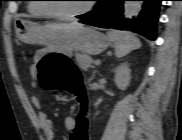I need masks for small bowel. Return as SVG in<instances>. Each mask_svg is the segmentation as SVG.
<instances>
[{
    "instance_id": "1",
    "label": "small bowel",
    "mask_w": 182,
    "mask_h": 140,
    "mask_svg": "<svg viewBox=\"0 0 182 140\" xmlns=\"http://www.w3.org/2000/svg\"><path fill=\"white\" fill-rule=\"evenodd\" d=\"M42 58H43V54L41 52L35 53L33 57V63L29 68V71L31 74H35L37 72V65L42 60ZM31 101L36 108L41 107V101L37 95L33 94L31 96ZM38 123L44 134L45 140H52L54 138V128L48 114L43 111H40L38 113ZM64 123H65L66 129L71 131L74 127V118L67 117Z\"/></svg>"
}]
</instances>
